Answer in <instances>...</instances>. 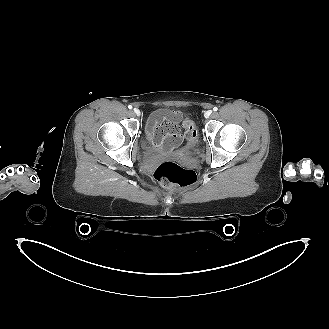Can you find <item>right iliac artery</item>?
I'll return each mask as SVG.
<instances>
[{
  "instance_id": "right-iliac-artery-1",
  "label": "right iliac artery",
  "mask_w": 329,
  "mask_h": 329,
  "mask_svg": "<svg viewBox=\"0 0 329 329\" xmlns=\"http://www.w3.org/2000/svg\"><path fill=\"white\" fill-rule=\"evenodd\" d=\"M128 108H129V109H132V106H131V105H129V106H128Z\"/></svg>"
}]
</instances>
